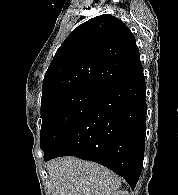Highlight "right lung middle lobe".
<instances>
[{
    "label": "right lung middle lobe",
    "instance_id": "obj_1",
    "mask_svg": "<svg viewBox=\"0 0 178 195\" xmlns=\"http://www.w3.org/2000/svg\"><path fill=\"white\" fill-rule=\"evenodd\" d=\"M98 91L80 89L52 96L41 102L40 147L51 153L77 125L94 102Z\"/></svg>",
    "mask_w": 178,
    "mask_h": 195
}]
</instances>
